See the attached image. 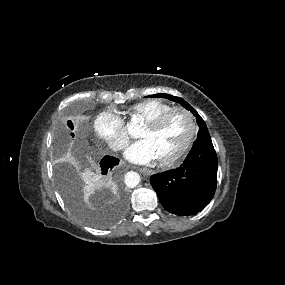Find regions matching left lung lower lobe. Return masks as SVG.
I'll return each instance as SVG.
<instances>
[{
    "label": "left lung lower lobe",
    "mask_w": 285,
    "mask_h": 285,
    "mask_svg": "<svg viewBox=\"0 0 285 285\" xmlns=\"http://www.w3.org/2000/svg\"><path fill=\"white\" fill-rule=\"evenodd\" d=\"M150 181L167 211L188 216L203 210L217 186V156L211 138L194 142L179 168L152 175Z\"/></svg>",
    "instance_id": "1"
}]
</instances>
